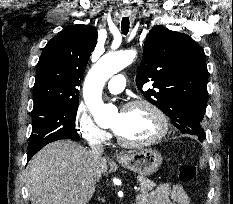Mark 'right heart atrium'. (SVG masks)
Instances as JSON below:
<instances>
[{
	"instance_id": "right-heart-atrium-1",
	"label": "right heart atrium",
	"mask_w": 233,
	"mask_h": 204,
	"mask_svg": "<svg viewBox=\"0 0 233 204\" xmlns=\"http://www.w3.org/2000/svg\"><path fill=\"white\" fill-rule=\"evenodd\" d=\"M74 127L77 134L90 144L105 143L110 134L93 120L88 110L78 106L74 116Z\"/></svg>"
}]
</instances>
